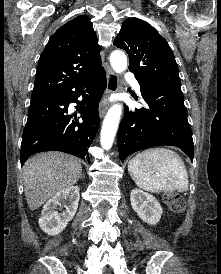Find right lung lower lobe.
<instances>
[{
    "label": "right lung lower lobe",
    "mask_w": 221,
    "mask_h": 274,
    "mask_svg": "<svg viewBox=\"0 0 221 274\" xmlns=\"http://www.w3.org/2000/svg\"><path fill=\"white\" fill-rule=\"evenodd\" d=\"M106 82L102 69L61 91L31 99L22 136L21 165L31 155L43 151H62L90 162L88 148L98 131V104ZM73 102L77 103L80 120L68 115V106Z\"/></svg>",
    "instance_id": "right-lung-lower-lobe-1"
}]
</instances>
